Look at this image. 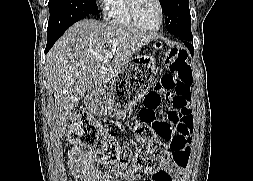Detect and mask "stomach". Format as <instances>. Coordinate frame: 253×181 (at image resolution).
<instances>
[{
    "mask_svg": "<svg viewBox=\"0 0 253 181\" xmlns=\"http://www.w3.org/2000/svg\"><path fill=\"white\" fill-rule=\"evenodd\" d=\"M156 73L155 53L138 55L130 59L108 86L91 90L85 105L91 114H108L115 119L126 116L145 95Z\"/></svg>",
    "mask_w": 253,
    "mask_h": 181,
    "instance_id": "1",
    "label": "stomach"
}]
</instances>
